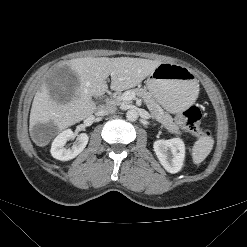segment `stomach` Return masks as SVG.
<instances>
[{
  "label": "stomach",
  "mask_w": 247,
  "mask_h": 247,
  "mask_svg": "<svg viewBox=\"0 0 247 247\" xmlns=\"http://www.w3.org/2000/svg\"><path fill=\"white\" fill-rule=\"evenodd\" d=\"M146 88L168 112L181 113L192 105L199 91L190 69L174 63H161L146 80Z\"/></svg>",
  "instance_id": "stomach-1"
}]
</instances>
